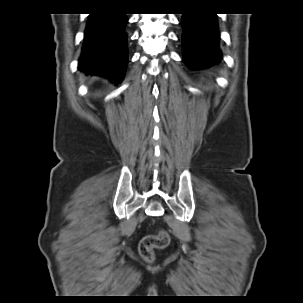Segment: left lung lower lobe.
<instances>
[{
  "label": "left lung lower lobe",
  "mask_w": 303,
  "mask_h": 303,
  "mask_svg": "<svg viewBox=\"0 0 303 303\" xmlns=\"http://www.w3.org/2000/svg\"><path fill=\"white\" fill-rule=\"evenodd\" d=\"M183 55L192 69L211 67L221 60L214 13H188L182 18Z\"/></svg>",
  "instance_id": "0a47b994"
}]
</instances>
